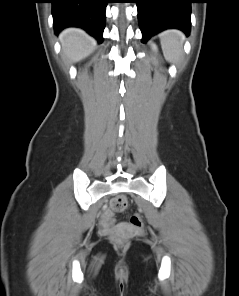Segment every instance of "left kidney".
Returning <instances> with one entry per match:
<instances>
[{
    "label": "left kidney",
    "mask_w": 239,
    "mask_h": 296,
    "mask_svg": "<svg viewBox=\"0 0 239 296\" xmlns=\"http://www.w3.org/2000/svg\"><path fill=\"white\" fill-rule=\"evenodd\" d=\"M151 47H152V50L153 51H155V52H157L158 51V49H157V46L155 45V44H151Z\"/></svg>",
    "instance_id": "1"
}]
</instances>
